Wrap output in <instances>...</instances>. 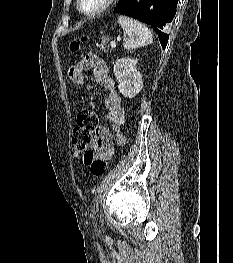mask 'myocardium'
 I'll list each match as a JSON object with an SVG mask.
<instances>
[{
    "label": "myocardium",
    "mask_w": 233,
    "mask_h": 263,
    "mask_svg": "<svg viewBox=\"0 0 233 263\" xmlns=\"http://www.w3.org/2000/svg\"><path fill=\"white\" fill-rule=\"evenodd\" d=\"M114 2L115 0H104L99 8H97L94 11L88 12L82 8V0H77V9L81 14H83L86 17H95L108 10Z\"/></svg>",
    "instance_id": "f54148a6"
}]
</instances>
